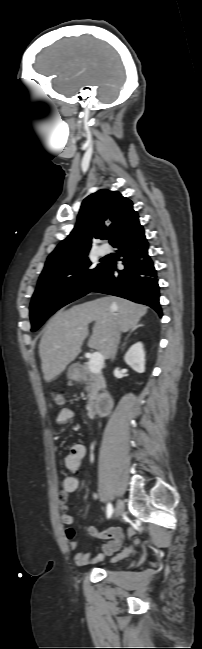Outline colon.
I'll use <instances>...</instances> for the list:
<instances>
[{
  "label": "colon",
  "instance_id": "1",
  "mask_svg": "<svg viewBox=\"0 0 202 649\" xmlns=\"http://www.w3.org/2000/svg\"><path fill=\"white\" fill-rule=\"evenodd\" d=\"M53 401L56 405L62 406L65 404V394L61 391L54 392L52 394Z\"/></svg>",
  "mask_w": 202,
  "mask_h": 649
}]
</instances>
